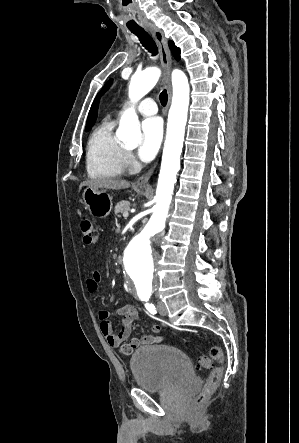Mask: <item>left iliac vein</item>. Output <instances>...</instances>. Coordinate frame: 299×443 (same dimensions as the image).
Here are the masks:
<instances>
[{"label":"left iliac vein","instance_id":"1","mask_svg":"<svg viewBox=\"0 0 299 443\" xmlns=\"http://www.w3.org/2000/svg\"><path fill=\"white\" fill-rule=\"evenodd\" d=\"M157 309L161 315H163V316L167 315V309H166V306L163 302H158Z\"/></svg>","mask_w":299,"mask_h":443}]
</instances>
